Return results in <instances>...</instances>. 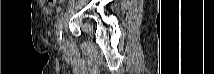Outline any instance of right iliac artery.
I'll list each match as a JSON object with an SVG mask.
<instances>
[{
    "label": "right iliac artery",
    "instance_id": "82829eb1",
    "mask_svg": "<svg viewBox=\"0 0 214 74\" xmlns=\"http://www.w3.org/2000/svg\"><path fill=\"white\" fill-rule=\"evenodd\" d=\"M62 23L63 17H60L57 21V40L60 45L62 44Z\"/></svg>",
    "mask_w": 214,
    "mask_h": 74
}]
</instances>
